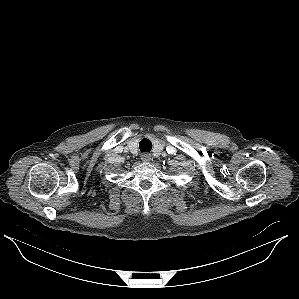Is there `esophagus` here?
I'll return each instance as SVG.
<instances>
[{
    "instance_id": "34e87169",
    "label": "esophagus",
    "mask_w": 299,
    "mask_h": 299,
    "mask_svg": "<svg viewBox=\"0 0 299 299\" xmlns=\"http://www.w3.org/2000/svg\"><path fill=\"white\" fill-rule=\"evenodd\" d=\"M141 159L143 162H150L152 160V156L149 153H144L141 155Z\"/></svg>"
}]
</instances>
